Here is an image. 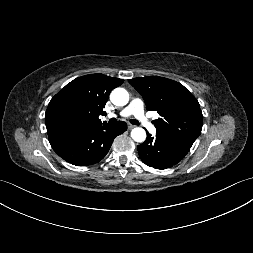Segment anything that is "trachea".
<instances>
[{"mask_svg":"<svg viewBox=\"0 0 253 253\" xmlns=\"http://www.w3.org/2000/svg\"><path fill=\"white\" fill-rule=\"evenodd\" d=\"M116 123H117V119L116 118H112V119L109 120V124L110 125H114ZM130 123L133 124V125H139L140 124L139 121H137L135 119H131Z\"/></svg>","mask_w":253,"mask_h":253,"instance_id":"obj_1","label":"trachea"}]
</instances>
